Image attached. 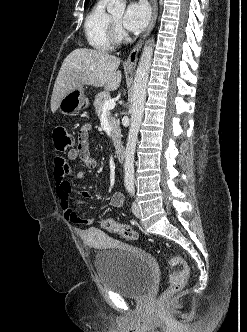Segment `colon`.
Returning a JSON list of instances; mask_svg holds the SVG:
<instances>
[{
    "mask_svg": "<svg viewBox=\"0 0 247 332\" xmlns=\"http://www.w3.org/2000/svg\"><path fill=\"white\" fill-rule=\"evenodd\" d=\"M55 149L58 152H65L72 148L74 140L72 135L63 126L55 127L52 133ZM100 226L105 231L119 234L129 240H135L138 234L130 226L121 224L114 219L105 218L101 220ZM167 258L168 267L171 269L169 274V286L159 296L160 303L168 302L173 296L180 292L186 285L189 277V266L180 256L164 253Z\"/></svg>",
    "mask_w": 247,
    "mask_h": 332,
    "instance_id": "obj_1",
    "label": "colon"
}]
</instances>
